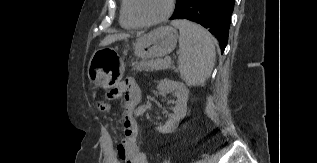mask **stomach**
<instances>
[{
    "mask_svg": "<svg viewBox=\"0 0 317 163\" xmlns=\"http://www.w3.org/2000/svg\"><path fill=\"white\" fill-rule=\"evenodd\" d=\"M178 34L171 26L159 27L137 39L134 53L141 59L163 57L173 51ZM105 49H99L92 55L88 65V77L96 86L106 87L122 76L123 68H112L111 63L103 58ZM117 70V73H116Z\"/></svg>",
    "mask_w": 317,
    "mask_h": 163,
    "instance_id": "1",
    "label": "stomach"
}]
</instances>
